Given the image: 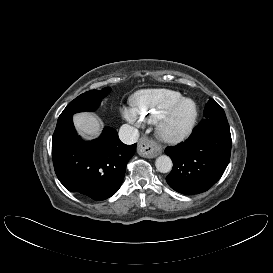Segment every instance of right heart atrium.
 I'll return each instance as SVG.
<instances>
[{"instance_id": "obj_1", "label": "right heart atrium", "mask_w": 273, "mask_h": 273, "mask_svg": "<svg viewBox=\"0 0 273 273\" xmlns=\"http://www.w3.org/2000/svg\"><path fill=\"white\" fill-rule=\"evenodd\" d=\"M121 112L124 119L128 121L130 124L136 127H139L142 124L143 121L140 115L133 107H123Z\"/></svg>"}]
</instances>
